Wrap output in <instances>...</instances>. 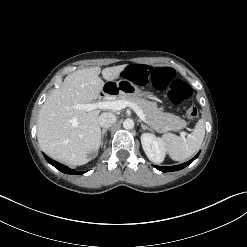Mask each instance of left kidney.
Masks as SVG:
<instances>
[{
	"label": "left kidney",
	"mask_w": 247,
	"mask_h": 247,
	"mask_svg": "<svg viewBox=\"0 0 247 247\" xmlns=\"http://www.w3.org/2000/svg\"><path fill=\"white\" fill-rule=\"evenodd\" d=\"M142 148L148 159L155 163H161L165 158L164 141L152 133H143L141 135Z\"/></svg>",
	"instance_id": "5707ae66"
}]
</instances>
